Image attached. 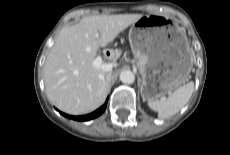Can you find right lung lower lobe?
I'll return each mask as SVG.
<instances>
[{
	"label": "right lung lower lobe",
	"instance_id": "98d812e1",
	"mask_svg": "<svg viewBox=\"0 0 230 155\" xmlns=\"http://www.w3.org/2000/svg\"><path fill=\"white\" fill-rule=\"evenodd\" d=\"M107 101H108V99L106 100V102H105V104L103 106H101L99 109H97L96 111H94L93 113L88 114V115L70 116V115H67V114H65L63 112H60V114H62L66 118H70V119L77 120V121H88V120H91V119H94V118L100 116L105 111L106 106H107Z\"/></svg>",
	"mask_w": 230,
	"mask_h": 155
}]
</instances>
